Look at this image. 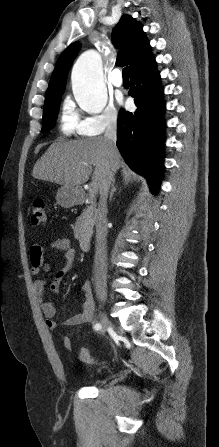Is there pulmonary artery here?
Listing matches in <instances>:
<instances>
[{"instance_id": "e3ab8cb5", "label": "pulmonary artery", "mask_w": 219, "mask_h": 447, "mask_svg": "<svg viewBox=\"0 0 219 447\" xmlns=\"http://www.w3.org/2000/svg\"><path fill=\"white\" fill-rule=\"evenodd\" d=\"M109 82L115 87H121L123 79L119 69H114L109 75Z\"/></svg>"}]
</instances>
